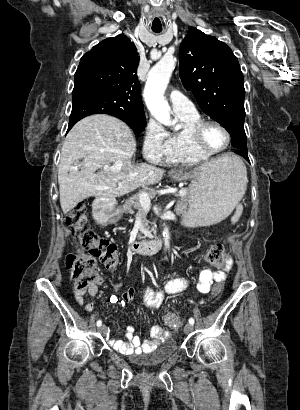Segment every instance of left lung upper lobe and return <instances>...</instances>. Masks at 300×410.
Returning a JSON list of instances; mask_svg holds the SVG:
<instances>
[{
    "label": "left lung upper lobe",
    "instance_id": "5c2ea615",
    "mask_svg": "<svg viewBox=\"0 0 300 410\" xmlns=\"http://www.w3.org/2000/svg\"><path fill=\"white\" fill-rule=\"evenodd\" d=\"M180 77L203 112L230 133L236 151L247 152L244 79L237 57L215 37L191 27L180 45Z\"/></svg>",
    "mask_w": 300,
    "mask_h": 410
}]
</instances>
